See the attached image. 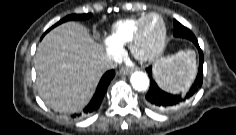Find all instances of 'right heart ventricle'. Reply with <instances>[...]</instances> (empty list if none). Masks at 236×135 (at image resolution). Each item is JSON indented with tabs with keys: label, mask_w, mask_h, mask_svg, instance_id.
Wrapping results in <instances>:
<instances>
[{
	"label": "right heart ventricle",
	"mask_w": 236,
	"mask_h": 135,
	"mask_svg": "<svg viewBox=\"0 0 236 135\" xmlns=\"http://www.w3.org/2000/svg\"><path fill=\"white\" fill-rule=\"evenodd\" d=\"M144 17L145 15H141L116 21L110 28L109 41L118 48L130 44L138 25Z\"/></svg>",
	"instance_id": "e07e8e85"
}]
</instances>
